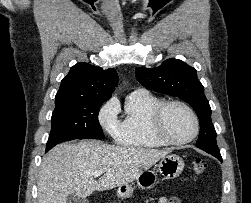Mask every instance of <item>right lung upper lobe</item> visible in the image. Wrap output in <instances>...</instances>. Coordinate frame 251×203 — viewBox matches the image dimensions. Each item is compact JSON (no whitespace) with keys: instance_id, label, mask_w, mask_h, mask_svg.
Instances as JSON below:
<instances>
[{"instance_id":"1","label":"right lung upper lobe","mask_w":251,"mask_h":203,"mask_svg":"<svg viewBox=\"0 0 251 203\" xmlns=\"http://www.w3.org/2000/svg\"><path fill=\"white\" fill-rule=\"evenodd\" d=\"M117 83L118 75L113 68L103 70L85 62L77 63L61 81L55 96L56 106L75 101L108 100Z\"/></svg>"}]
</instances>
